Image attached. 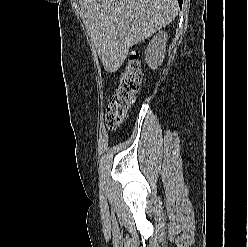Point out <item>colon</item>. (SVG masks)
<instances>
[{"instance_id": "5ec220e1", "label": "colon", "mask_w": 248, "mask_h": 247, "mask_svg": "<svg viewBox=\"0 0 248 247\" xmlns=\"http://www.w3.org/2000/svg\"><path fill=\"white\" fill-rule=\"evenodd\" d=\"M143 72L137 51L129 53L125 70L106 107V125L114 131L125 120L142 84Z\"/></svg>"}]
</instances>
